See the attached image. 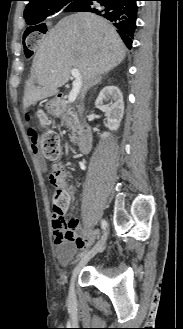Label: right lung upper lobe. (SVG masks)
Listing matches in <instances>:
<instances>
[{
    "label": "right lung upper lobe",
    "mask_w": 183,
    "mask_h": 329,
    "mask_svg": "<svg viewBox=\"0 0 183 329\" xmlns=\"http://www.w3.org/2000/svg\"><path fill=\"white\" fill-rule=\"evenodd\" d=\"M29 3L25 8L24 17L26 20L29 18L44 14L50 6L61 0H28Z\"/></svg>",
    "instance_id": "cb5924a9"
}]
</instances>
